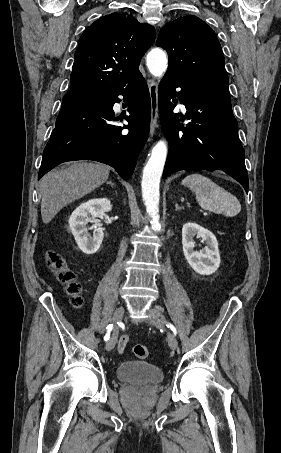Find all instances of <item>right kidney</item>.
<instances>
[{"label": "right kidney", "mask_w": 281, "mask_h": 453, "mask_svg": "<svg viewBox=\"0 0 281 453\" xmlns=\"http://www.w3.org/2000/svg\"><path fill=\"white\" fill-rule=\"evenodd\" d=\"M112 204L109 198H90L82 202L69 216V227L74 239L86 255H94L103 241V231L100 229L101 222L96 216H102L104 212L111 210ZM87 222H95L93 227H87ZM90 229H94L93 237H90Z\"/></svg>", "instance_id": "right-kidney-1"}]
</instances>
